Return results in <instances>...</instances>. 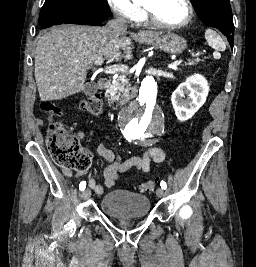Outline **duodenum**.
<instances>
[{
  "label": "duodenum",
  "instance_id": "duodenum-1",
  "mask_svg": "<svg viewBox=\"0 0 256 267\" xmlns=\"http://www.w3.org/2000/svg\"><path fill=\"white\" fill-rule=\"evenodd\" d=\"M110 80L106 77H102L98 80V88L102 91L108 88ZM134 95L127 96V101H134ZM122 103H125V100H122Z\"/></svg>",
  "mask_w": 256,
  "mask_h": 267
}]
</instances>
